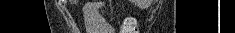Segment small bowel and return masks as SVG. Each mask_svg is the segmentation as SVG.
Listing matches in <instances>:
<instances>
[{
	"label": "small bowel",
	"instance_id": "obj_1",
	"mask_svg": "<svg viewBox=\"0 0 235 33\" xmlns=\"http://www.w3.org/2000/svg\"><path fill=\"white\" fill-rule=\"evenodd\" d=\"M101 2L91 1L83 7V18L87 33H114L111 25L105 22L99 10Z\"/></svg>",
	"mask_w": 235,
	"mask_h": 33
}]
</instances>
